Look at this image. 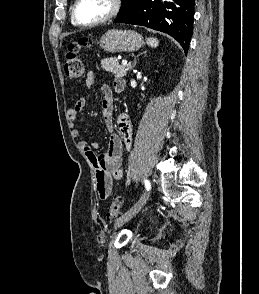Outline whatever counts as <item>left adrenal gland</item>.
<instances>
[{"instance_id":"left-adrenal-gland-1","label":"left adrenal gland","mask_w":259,"mask_h":294,"mask_svg":"<svg viewBox=\"0 0 259 294\" xmlns=\"http://www.w3.org/2000/svg\"><path fill=\"white\" fill-rule=\"evenodd\" d=\"M147 52L145 51L143 54H146ZM141 54H139L137 57H139ZM136 57V58H137ZM136 58L134 59V63H133V66H132V68H134L135 67V65H136Z\"/></svg>"}]
</instances>
